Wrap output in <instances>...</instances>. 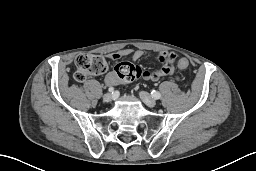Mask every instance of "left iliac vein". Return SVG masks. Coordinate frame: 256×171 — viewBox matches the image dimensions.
Masks as SVG:
<instances>
[{"mask_svg":"<svg viewBox=\"0 0 256 171\" xmlns=\"http://www.w3.org/2000/svg\"><path fill=\"white\" fill-rule=\"evenodd\" d=\"M140 98L142 99V101L148 106V107H155L156 106V100L151 97L147 92L145 91H141L139 93Z\"/></svg>","mask_w":256,"mask_h":171,"instance_id":"obj_1","label":"left iliac vein"}]
</instances>
